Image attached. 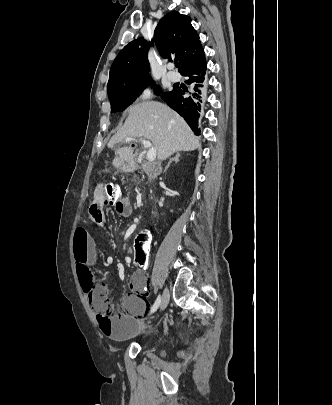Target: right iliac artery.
Listing matches in <instances>:
<instances>
[{
  "label": "right iliac artery",
  "instance_id": "1",
  "mask_svg": "<svg viewBox=\"0 0 332 405\" xmlns=\"http://www.w3.org/2000/svg\"><path fill=\"white\" fill-rule=\"evenodd\" d=\"M160 302H161V296L158 295L156 301L154 302V304H153V306H152V308L150 310V313H152V312H154V311H156L158 309V307L160 305Z\"/></svg>",
  "mask_w": 332,
  "mask_h": 405
}]
</instances>
